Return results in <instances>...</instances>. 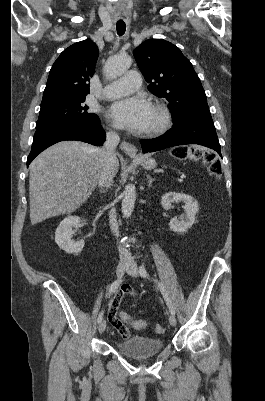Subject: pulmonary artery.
<instances>
[{
    "mask_svg": "<svg viewBox=\"0 0 265 401\" xmlns=\"http://www.w3.org/2000/svg\"><path fill=\"white\" fill-rule=\"evenodd\" d=\"M140 77L135 72H128L127 75H120L112 79L111 84L114 91H108L104 94L105 99H113L122 101L124 95H138Z\"/></svg>",
    "mask_w": 265,
    "mask_h": 401,
    "instance_id": "obj_1",
    "label": "pulmonary artery"
}]
</instances>
